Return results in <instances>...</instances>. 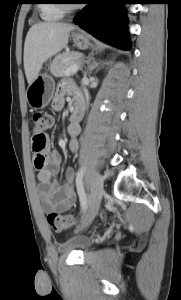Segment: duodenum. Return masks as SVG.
I'll return each mask as SVG.
<instances>
[{
	"mask_svg": "<svg viewBox=\"0 0 181 300\" xmlns=\"http://www.w3.org/2000/svg\"><path fill=\"white\" fill-rule=\"evenodd\" d=\"M84 112V102L82 99H77L74 107L73 114L71 116V123L75 124L77 123Z\"/></svg>",
	"mask_w": 181,
	"mask_h": 300,
	"instance_id": "1",
	"label": "duodenum"
}]
</instances>
